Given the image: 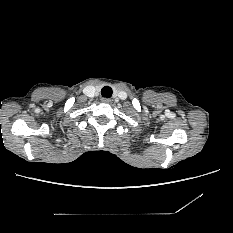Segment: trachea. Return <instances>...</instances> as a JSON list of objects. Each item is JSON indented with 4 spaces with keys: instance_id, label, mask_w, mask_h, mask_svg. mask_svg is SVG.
<instances>
[{
    "instance_id": "obj_1",
    "label": "trachea",
    "mask_w": 233,
    "mask_h": 233,
    "mask_svg": "<svg viewBox=\"0 0 233 233\" xmlns=\"http://www.w3.org/2000/svg\"><path fill=\"white\" fill-rule=\"evenodd\" d=\"M112 89L111 87L109 86H104L102 89H101V95L102 97H105V98H110L112 96Z\"/></svg>"
}]
</instances>
